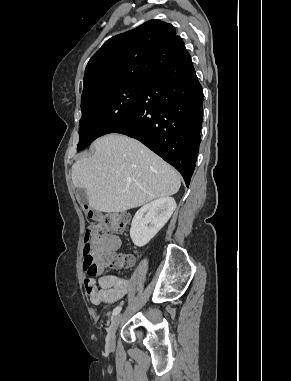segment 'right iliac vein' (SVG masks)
<instances>
[{"label":"right iliac vein","mask_w":291,"mask_h":381,"mask_svg":"<svg viewBox=\"0 0 291 381\" xmlns=\"http://www.w3.org/2000/svg\"><path fill=\"white\" fill-rule=\"evenodd\" d=\"M122 319V314H117L110 326H109V329H108V333H107V344L108 346L110 347H113L114 346V343H115V334H116V331H117V328L120 324V321Z\"/></svg>","instance_id":"63e3f726"}]
</instances>
